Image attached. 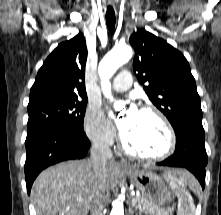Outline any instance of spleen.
<instances>
[{
  "label": "spleen",
  "mask_w": 221,
  "mask_h": 215,
  "mask_svg": "<svg viewBox=\"0 0 221 215\" xmlns=\"http://www.w3.org/2000/svg\"><path fill=\"white\" fill-rule=\"evenodd\" d=\"M165 177L178 198V215H194L195 204L186 187L195 189L197 185L195 178L189 172H184L179 176L167 174Z\"/></svg>",
  "instance_id": "obj_1"
}]
</instances>
